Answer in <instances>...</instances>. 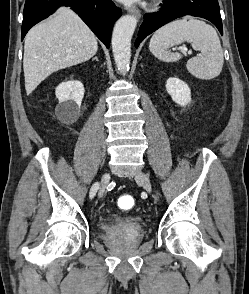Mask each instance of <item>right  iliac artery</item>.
I'll use <instances>...</instances> for the list:
<instances>
[{"instance_id":"right-iliac-artery-1","label":"right iliac artery","mask_w":249,"mask_h":294,"mask_svg":"<svg viewBox=\"0 0 249 294\" xmlns=\"http://www.w3.org/2000/svg\"><path fill=\"white\" fill-rule=\"evenodd\" d=\"M99 188V183H95L90 190V198H93Z\"/></svg>"}]
</instances>
